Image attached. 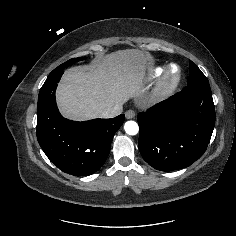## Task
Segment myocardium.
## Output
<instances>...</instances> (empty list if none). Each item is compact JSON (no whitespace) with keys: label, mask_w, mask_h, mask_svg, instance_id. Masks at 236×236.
Listing matches in <instances>:
<instances>
[{"label":"myocardium","mask_w":236,"mask_h":236,"mask_svg":"<svg viewBox=\"0 0 236 236\" xmlns=\"http://www.w3.org/2000/svg\"><path fill=\"white\" fill-rule=\"evenodd\" d=\"M181 78H182L181 68L176 64L170 65L167 68L164 77L159 84L158 93L160 95H166L170 93L179 85Z\"/></svg>","instance_id":"obj_1"}]
</instances>
